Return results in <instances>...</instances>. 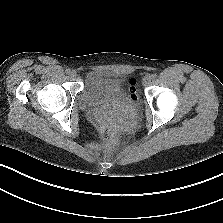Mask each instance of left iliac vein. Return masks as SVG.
I'll return each instance as SVG.
<instances>
[{"label": "left iliac vein", "mask_w": 223, "mask_h": 223, "mask_svg": "<svg viewBox=\"0 0 223 223\" xmlns=\"http://www.w3.org/2000/svg\"><path fill=\"white\" fill-rule=\"evenodd\" d=\"M151 76L150 75H146L144 78H143V85L144 86H148L151 82Z\"/></svg>", "instance_id": "left-iliac-vein-1"}]
</instances>
